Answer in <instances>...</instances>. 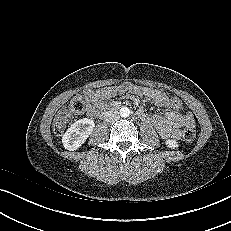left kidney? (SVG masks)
Instances as JSON below:
<instances>
[{
    "instance_id": "1",
    "label": "left kidney",
    "mask_w": 231,
    "mask_h": 231,
    "mask_svg": "<svg viewBox=\"0 0 231 231\" xmlns=\"http://www.w3.org/2000/svg\"><path fill=\"white\" fill-rule=\"evenodd\" d=\"M166 145L171 149H175L179 146L176 140H170V139L166 140Z\"/></svg>"
}]
</instances>
